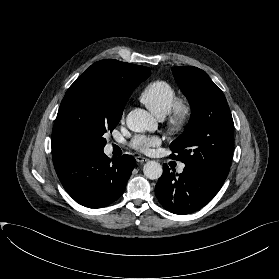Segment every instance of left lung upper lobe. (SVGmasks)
Returning a JSON list of instances; mask_svg holds the SVG:
<instances>
[{"label": "left lung upper lobe", "mask_w": 279, "mask_h": 279, "mask_svg": "<svg viewBox=\"0 0 279 279\" xmlns=\"http://www.w3.org/2000/svg\"><path fill=\"white\" fill-rule=\"evenodd\" d=\"M174 78L189 100L192 114L183 134L174 140L171 158L185 167L210 172L225 181L232 160L234 123L223 92L201 69L173 67Z\"/></svg>", "instance_id": "obj_1"}]
</instances>
